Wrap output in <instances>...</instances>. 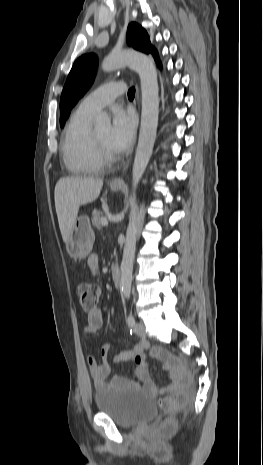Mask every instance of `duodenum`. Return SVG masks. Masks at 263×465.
I'll return each instance as SVG.
<instances>
[{"label": "duodenum", "instance_id": "duodenum-1", "mask_svg": "<svg viewBox=\"0 0 263 465\" xmlns=\"http://www.w3.org/2000/svg\"><path fill=\"white\" fill-rule=\"evenodd\" d=\"M112 279L116 287L120 286L121 283V272L118 266L112 268Z\"/></svg>", "mask_w": 263, "mask_h": 465}]
</instances>
